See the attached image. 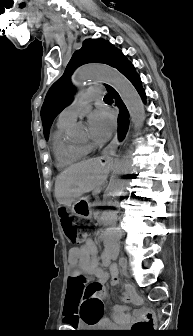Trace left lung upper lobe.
<instances>
[{"label":"left lung upper lobe","instance_id":"left-lung-upper-lobe-1","mask_svg":"<svg viewBox=\"0 0 193 336\" xmlns=\"http://www.w3.org/2000/svg\"><path fill=\"white\" fill-rule=\"evenodd\" d=\"M120 51L102 40H85L69 61L64 74L50 87L41 108L44 136L47 139L53 119L71 102L74 93L70 83L73 71L86 63H105L113 67Z\"/></svg>","mask_w":193,"mask_h":336}]
</instances>
